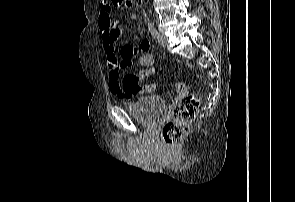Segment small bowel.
<instances>
[{
  "label": "small bowel",
  "mask_w": 295,
  "mask_h": 202,
  "mask_svg": "<svg viewBox=\"0 0 295 202\" xmlns=\"http://www.w3.org/2000/svg\"><path fill=\"white\" fill-rule=\"evenodd\" d=\"M112 4L109 0L100 1L98 25L101 33V44L107 57L109 89L112 93L124 99H130L141 94L151 93L154 90H132L125 91L120 80L121 71L129 67L135 56H140V52H147L150 44L148 41L137 43L136 47L122 45L116 51V42L124 34V28L112 18ZM132 19L134 16L131 17ZM145 70V69H144ZM137 79L146 80L151 75H136ZM180 98H189V93H180ZM171 107H178V102H171Z\"/></svg>",
  "instance_id": "small-bowel-1"
}]
</instances>
